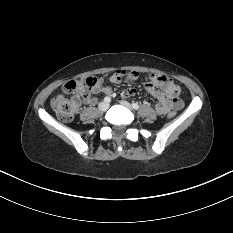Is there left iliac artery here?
I'll return each instance as SVG.
<instances>
[{
  "mask_svg": "<svg viewBox=\"0 0 233 233\" xmlns=\"http://www.w3.org/2000/svg\"><path fill=\"white\" fill-rule=\"evenodd\" d=\"M132 107H133L134 109H136V110L139 109V105H138L137 103H133V104H132Z\"/></svg>",
  "mask_w": 233,
  "mask_h": 233,
  "instance_id": "obj_1",
  "label": "left iliac artery"
}]
</instances>
